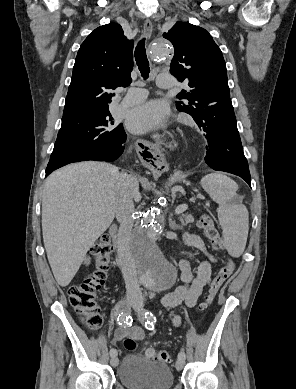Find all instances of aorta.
I'll return each mask as SVG.
<instances>
[{"mask_svg":"<svg viewBox=\"0 0 296 389\" xmlns=\"http://www.w3.org/2000/svg\"><path fill=\"white\" fill-rule=\"evenodd\" d=\"M172 56L165 40L156 41L149 52V59L156 66H165L171 62ZM161 230L162 223L155 210L151 209L144 213L130 239V250L138 266L140 282L154 291L169 289L176 276L174 266L163 256L159 247Z\"/></svg>","mask_w":296,"mask_h":389,"instance_id":"obj_1","label":"aorta"}]
</instances>
